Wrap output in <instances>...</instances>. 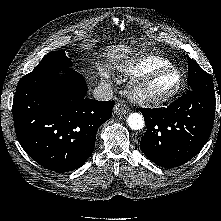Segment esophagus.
Instances as JSON below:
<instances>
[{
	"label": "esophagus",
	"instance_id": "34e87169",
	"mask_svg": "<svg viewBox=\"0 0 221 221\" xmlns=\"http://www.w3.org/2000/svg\"><path fill=\"white\" fill-rule=\"evenodd\" d=\"M113 111L117 115L127 114L130 110L124 102H117L113 108Z\"/></svg>",
	"mask_w": 221,
	"mask_h": 221
}]
</instances>
